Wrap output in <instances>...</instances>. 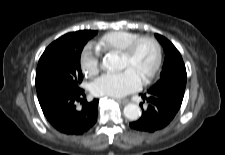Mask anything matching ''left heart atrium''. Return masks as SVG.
Returning <instances> with one entry per match:
<instances>
[{
    "label": "left heart atrium",
    "mask_w": 225,
    "mask_h": 155,
    "mask_svg": "<svg viewBox=\"0 0 225 155\" xmlns=\"http://www.w3.org/2000/svg\"><path fill=\"white\" fill-rule=\"evenodd\" d=\"M143 79L131 68L120 72L106 73L97 78L91 86L95 96L123 97L138 90Z\"/></svg>",
    "instance_id": "left-heart-atrium-1"
}]
</instances>
